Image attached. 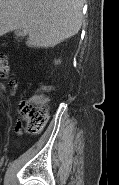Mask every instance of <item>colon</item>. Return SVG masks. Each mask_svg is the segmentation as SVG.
<instances>
[{"mask_svg":"<svg viewBox=\"0 0 119 185\" xmlns=\"http://www.w3.org/2000/svg\"><path fill=\"white\" fill-rule=\"evenodd\" d=\"M25 116L28 128L32 133H39L45 123V113L39 103H33L26 107Z\"/></svg>","mask_w":119,"mask_h":185,"instance_id":"colon-1","label":"colon"}]
</instances>
